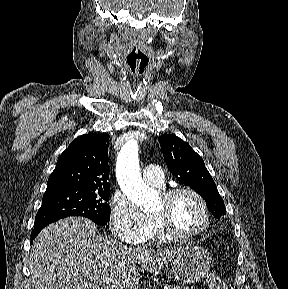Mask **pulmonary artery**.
Instances as JSON below:
<instances>
[{"label": "pulmonary artery", "mask_w": 288, "mask_h": 289, "mask_svg": "<svg viewBox=\"0 0 288 289\" xmlns=\"http://www.w3.org/2000/svg\"><path fill=\"white\" fill-rule=\"evenodd\" d=\"M142 176L146 183L155 187L164 186V172L157 165H148L142 171Z\"/></svg>", "instance_id": "1"}]
</instances>
